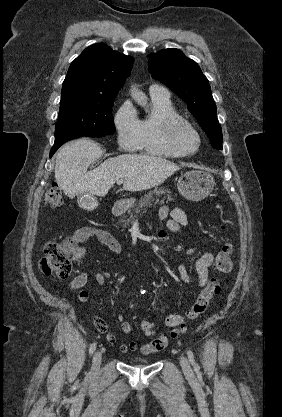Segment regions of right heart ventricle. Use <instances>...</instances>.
Masks as SVG:
<instances>
[{"instance_id": "obj_1", "label": "right heart ventricle", "mask_w": 282, "mask_h": 417, "mask_svg": "<svg viewBox=\"0 0 282 417\" xmlns=\"http://www.w3.org/2000/svg\"><path fill=\"white\" fill-rule=\"evenodd\" d=\"M152 110L143 117L137 116V111L132 113L137 117L141 138V147L158 155L178 156L166 142L165 137L159 131V121L165 115H177L170 99L152 97Z\"/></svg>"}]
</instances>
